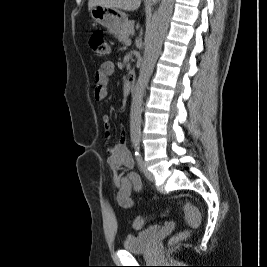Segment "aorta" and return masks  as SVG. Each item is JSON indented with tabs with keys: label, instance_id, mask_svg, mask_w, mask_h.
Masks as SVG:
<instances>
[{
	"label": "aorta",
	"instance_id": "1",
	"mask_svg": "<svg viewBox=\"0 0 267 267\" xmlns=\"http://www.w3.org/2000/svg\"><path fill=\"white\" fill-rule=\"evenodd\" d=\"M175 0H161L156 18L146 38V48L138 80L132 95L130 110V132L133 141L141 136V113L145 88L153 73L166 36Z\"/></svg>",
	"mask_w": 267,
	"mask_h": 267
}]
</instances>
